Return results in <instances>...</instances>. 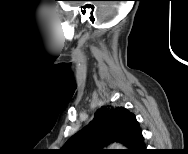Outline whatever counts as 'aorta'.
I'll return each instance as SVG.
<instances>
[{"instance_id":"obj_1","label":"aorta","mask_w":188,"mask_h":154,"mask_svg":"<svg viewBox=\"0 0 188 154\" xmlns=\"http://www.w3.org/2000/svg\"><path fill=\"white\" fill-rule=\"evenodd\" d=\"M111 147H112L113 149H122V145L119 144V143H114V144L111 145Z\"/></svg>"}]
</instances>
